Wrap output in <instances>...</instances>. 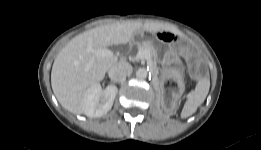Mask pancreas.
<instances>
[{
    "label": "pancreas",
    "mask_w": 261,
    "mask_h": 150,
    "mask_svg": "<svg viewBox=\"0 0 261 150\" xmlns=\"http://www.w3.org/2000/svg\"><path fill=\"white\" fill-rule=\"evenodd\" d=\"M140 49L148 51L149 58L147 59V61L150 65L151 71L153 72L154 76H157V74L159 73V68L157 66L156 59L153 55L152 47L147 42H144L142 45L139 46V50Z\"/></svg>",
    "instance_id": "cf45deb5"
}]
</instances>
